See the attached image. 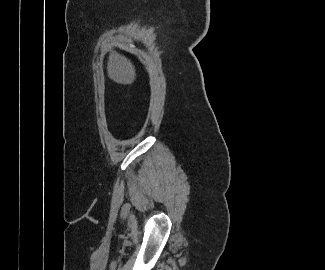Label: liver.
Instances as JSON below:
<instances>
[{
    "label": "liver",
    "mask_w": 325,
    "mask_h": 270,
    "mask_svg": "<svg viewBox=\"0 0 325 270\" xmlns=\"http://www.w3.org/2000/svg\"><path fill=\"white\" fill-rule=\"evenodd\" d=\"M108 77L119 84L130 85L136 79L135 67L124 55L111 52L107 64Z\"/></svg>",
    "instance_id": "1"
}]
</instances>
